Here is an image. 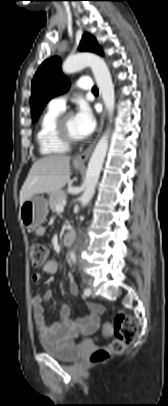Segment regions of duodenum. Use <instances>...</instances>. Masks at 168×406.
<instances>
[{
  "instance_id": "1",
  "label": "duodenum",
  "mask_w": 168,
  "mask_h": 406,
  "mask_svg": "<svg viewBox=\"0 0 168 406\" xmlns=\"http://www.w3.org/2000/svg\"><path fill=\"white\" fill-rule=\"evenodd\" d=\"M76 238V233L73 228H70L69 230L66 231L64 237H63V244L64 245H72L75 241Z\"/></svg>"
}]
</instances>
